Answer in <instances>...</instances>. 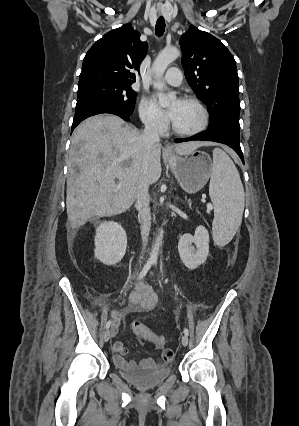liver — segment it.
I'll list each match as a JSON object with an SVG mask.
<instances>
[{"mask_svg": "<svg viewBox=\"0 0 299 426\" xmlns=\"http://www.w3.org/2000/svg\"><path fill=\"white\" fill-rule=\"evenodd\" d=\"M210 142L175 145L187 155ZM149 156V185L161 176V145L150 149L142 134L114 115H97L83 121L73 132L68 158L66 207L73 229L93 217H108L128 210L137 197L142 167ZM115 179L121 188L117 189Z\"/></svg>", "mask_w": 299, "mask_h": 426, "instance_id": "6515ba94", "label": "liver"}]
</instances>
